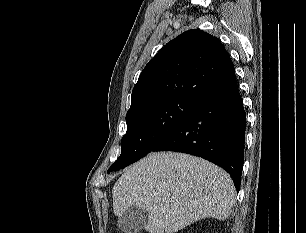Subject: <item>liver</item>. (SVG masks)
<instances>
[{"instance_id": "liver-1", "label": "liver", "mask_w": 306, "mask_h": 233, "mask_svg": "<svg viewBox=\"0 0 306 233\" xmlns=\"http://www.w3.org/2000/svg\"><path fill=\"white\" fill-rule=\"evenodd\" d=\"M113 211L142 208L150 233H175L200 219L225 220L236 191L229 174L199 157L184 153H150L128 167L112 190Z\"/></svg>"}]
</instances>
